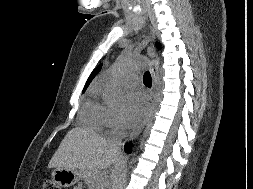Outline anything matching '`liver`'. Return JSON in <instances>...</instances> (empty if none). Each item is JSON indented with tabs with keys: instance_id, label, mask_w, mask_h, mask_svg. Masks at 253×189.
<instances>
[{
	"instance_id": "liver-1",
	"label": "liver",
	"mask_w": 253,
	"mask_h": 189,
	"mask_svg": "<svg viewBox=\"0 0 253 189\" xmlns=\"http://www.w3.org/2000/svg\"><path fill=\"white\" fill-rule=\"evenodd\" d=\"M119 158V152L96 132L76 127L66 134L48 167L80 169L90 189H104L103 174Z\"/></svg>"
}]
</instances>
